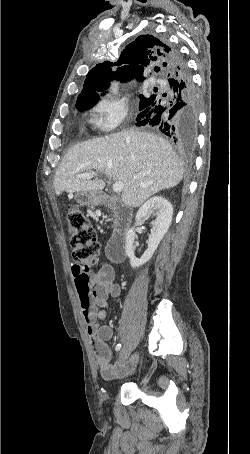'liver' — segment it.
I'll return each instance as SVG.
<instances>
[{"label": "liver", "mask_w": 250, "mask_h": 454, "mask_svg": "<svg viewBox=\"0 0 250 454\" xmlns=\"http://www.w3.org/2000/svg\"><path fill=\"white\" fill-rule=\"evenodd\" d=\"M91 170L122 182V202L131 207L175 187L184 173L168 141L147 132L122 131L72 146L55 173V193L102 191L103 180L76 177Z\"/></svg>", "instance_id": "6515ba94"}]
</instances>
